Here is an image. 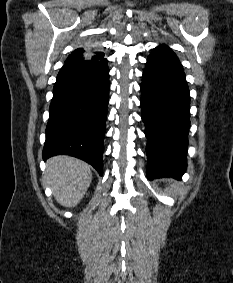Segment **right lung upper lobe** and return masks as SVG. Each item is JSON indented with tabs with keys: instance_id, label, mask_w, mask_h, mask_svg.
Returning <instances> with one entry per match:
<instances>
[{
	"instance_id": "1",
	"label": "right lung upper lobe",
	"mask_w": 233,
	"mask_h": 283,
	"mask_svg": "<svg viewBox=\"0 0 233 283\" xmlns=\"http://www.w3.org/2000/svg\"><path fill=\"white\" fill-rule=\"evenodd\" d=\"M95 44H82L81 48L74 50L66 59L65 63H72L86 59L100 60L104 54H112V49H95ZM91 49V50H89Z\"/></svg>"
}]
</instances>
